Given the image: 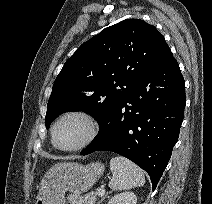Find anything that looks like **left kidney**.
Here are the masks:
<instances>
[{"label":"left kidney","instance_id":"obj_1","mask_svg":"<svg viewBox=\"0 0 212 204\" xmlns=\"http://www.w3.org/2000/svg\"><path fill=\"white\" fill-rule=\"evenodd\" d=\"M137 197L133 192H123L110 199L108 204H136Z\"/></svg>","mask_w":212,"mask_h":204}]
</instances>
